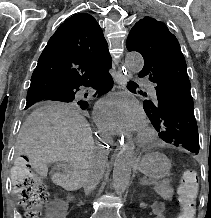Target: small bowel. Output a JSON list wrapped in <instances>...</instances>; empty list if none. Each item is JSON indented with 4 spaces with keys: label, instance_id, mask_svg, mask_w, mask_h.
<instances>
[{
    "label": "small bowel",
    "instance_id": "1",
    "mask_svg": "<svg viewBox=\"0 0 211 218\" xmlns=\"http://www.w3.org/2000/svg\"><path fill=\"white\" fill-rule=\"evenodd\" d=\"M165 207L161 203H157L152 207V215L154 218H165L164 215ZM59 214L58 210L55 209L53 206L49 207L47 211L48 218H54Z\"/></svg>",
    "mask_w": 211,
    "mask_h": 218
}]
</instances>
